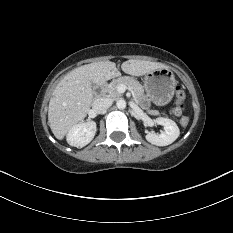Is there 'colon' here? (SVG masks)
Listing matches in <instances>:
<instances>
[{"mask_svg":"<svg viewBox=\"0 0 233 233\" xmlns=\"http://www.w3.org/2000/svg\"><path fill=\"white\" fill-rule=\"evenodd\" d=\"M174 97H175V103L177 108L180 111H184L186 109V103H185V92L181 87H176L175 89V93H174ZM181 125L182 126H187L189 123V118L186 116H183L180 120Z\"/></svg>","mask_w":233,"mask_h":233,"instance_id":"5ec220e1","label":"colon"}]
</instances>
